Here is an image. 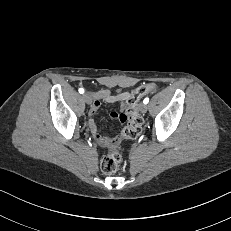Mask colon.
<instances>
[{
    "label": "colon",
    "mask_w": 231,
    "mask_h": 231,
    "mask_svg": "<svg viewBox=\"0 0 231 231\" xmlns=\"http://www.w3.org/2000/svg\"><path fill=\"white\" fill-rule=\"evenodd\" d=\"M155 88L154 83L144 84L129 95L126 109L121 115V118L126 122V126L121 133L123 138L135 139L141 133L143 120L139 113V102L142 97L154 91ZM120 162L121 154L119 150H114L103 157L100 167L103 173L113 174L118 169Z\"/></svg>",
    "instance_id": "5ec220e1"
}]
</instances>
